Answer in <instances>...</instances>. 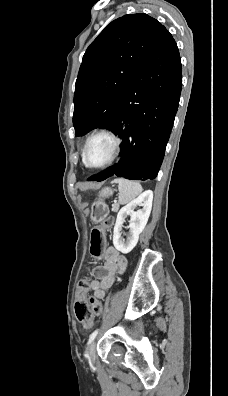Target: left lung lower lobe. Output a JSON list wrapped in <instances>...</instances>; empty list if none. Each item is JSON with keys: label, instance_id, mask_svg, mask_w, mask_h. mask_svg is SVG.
<instances>
[{"label": "left lung lower lobe", "instance_id": "1", "mask_svg": "<svg viewBox=\"0 0 228 396\" xmlns=\"http://www.w3.org/2000/svg\"><path fill=\"white\" fill-rule=\"evenodd\" d=\"M181 68L177 45L163 27L109 127L122 138L121 159L89 181L113 175L142 181L156 178L179 105Z\"/></svg>", "mask_w": 228, "mask_h": 396}]
</instances>
